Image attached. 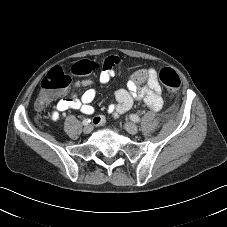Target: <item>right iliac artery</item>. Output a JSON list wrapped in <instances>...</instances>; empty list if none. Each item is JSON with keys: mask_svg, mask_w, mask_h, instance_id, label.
Listing matches in <instances>:
<instances>
[{"mask_svg": "<svg viewBox=\"0 0 227 227\" xmlns=\"http://www.w3.org/2000/svg\"><path fill=\"white\" fill-rule=\"evenodd\" d=\"M90 122H91L90 119H84V120H83V124H84V125H88Z\"/></svg>", "mask_w": 227, "mask_h": 227, "instance_id": "82829eb1", "label": "right iliac artery"}]
</instances>
